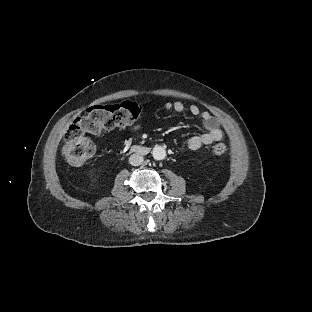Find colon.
<instances>
[{
	"label": "colon",
	"instance_id": "5ec220e1",
	"mask_svg": "<svg viewBox=\"0 0 312 312\" xmlns=\"http://www.w3.org/2000/svg\"><path fill=\"white\" fill-rule=\"evenodd\" d=\"M145 107L140 102H121L90 107L77 122L69 125L63 135V154L72 166L84 164L93 154L94 145L89 134L99 135L117 126L139 121ZM227 151L224 142L216 143L212 152L222 155Z\"/></svg>",
	"mask_w": 312,
	"mask_h": 312
}]
</instances>
